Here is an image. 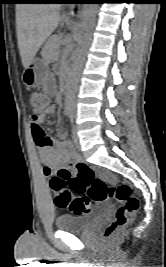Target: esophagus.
I'll list each match as a JSON object with an SVG mask.
<instances>
[{"label": "esophagus", "mask_w": 166, "mask_h": 267, "mask_svg": "<svg viewBox=\"0 0 166 267\" xmlns=\"http://www.w3.org/2000/svg\"><path fill=\"white\" fill-rule=\"evenodd\" d=\"M74 10H75V5L72 3H69L65 6V11L64 14L70 17L74 16Z\"/></svg>", "instance_id": "1"}]
</instances>
